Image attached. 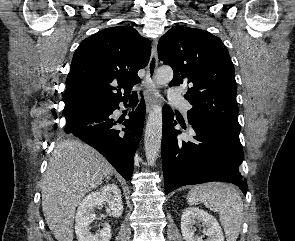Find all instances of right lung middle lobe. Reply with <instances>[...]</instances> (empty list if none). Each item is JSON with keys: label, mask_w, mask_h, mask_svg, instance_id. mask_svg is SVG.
Wrapping results in <instances>:
<instances>
[{"label": "right lung middle lobe", "mask_w": 295, "mask_h": 241, "mask_svg": "<svg viewBox=\"0 0 295 241\" xmlns=\"http://www.w3.org/2000/svg\"><path fill=\"white\" fill-rule=\"evenodd\" d=\"M75 114H69V115H65L66 119H70L72 116H74Z\"/></svg>", "instance_id": "right-lung-middle-lobe-1"}]
</instances>
